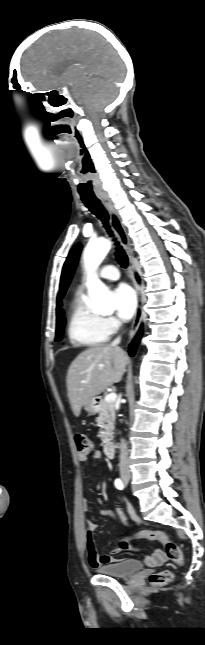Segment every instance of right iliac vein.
Segmentation results:
<instances>
[{
    "label": "right iliac vein",
    "mask_w": 205,
    "mask_h": 645,
    "mask_svg": "<svg viewBox=\"0 0 205 645\" xmlns=\"http://www.w3.org/2000/svg\"><path fill=\"white\" fill-rule=\"evenodd\" d=\"M122 478L125 482H128L130 480V474H123Z\"/></svg>",
    "instance_id": "obj_1"
}]
</instances>
